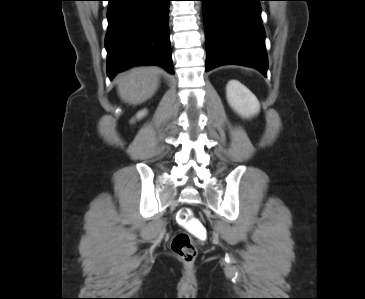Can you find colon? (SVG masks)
Returning <instances> with one entry per match:
<instances>
[{
	"label": "colon",
	"mask_w": 365,
	"mask_h": 299,
	"mask_svg": "<svg viewBox=\"0 0 365 299\" xmlns=\"http://www.w3.org/2000/svg\"><path fill=\"white\" fill-rule=\"evenodd\" d=\"M177 223L185 232L177 233L171 242L172 251L186 262H192L197 255V249L192 236L204 240L206 229L202 222L197 219L189 207L179 210L176 217Z\"/></svg>",
	"instance_id": "obj_1"
}]
</instances>
